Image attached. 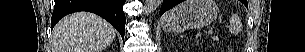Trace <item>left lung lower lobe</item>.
<instances>
[{
  "instance_id": "left-lung-lower-lobe-1",
  "label": "left lung lower lobe",
  "mask_w": 305,
  "mask_h": 52,
  "mask_svg": "<svg viewBox=\"0 0 305 52\" xmlns=\"http://www.w3.org/2000/svg\"><path fill=\"white\" fill-rule=\"evenodd\" d=\"M182 2V0H164L160 9V15H162L165 11L171 9L175 5Z\"/></svg>"
}]
</instances>
